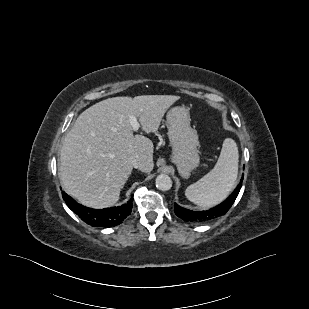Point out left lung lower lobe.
I'll use <instances>...</instances> for the list:
<instances>
[{"instance_id":"0a47b994","label":"left lung lower lobe","mask_w":309,"mask_h":309,"mask_svg":"<svg viewBox=\"0 0 309 309\" xmlns=\"http://www.w3.org/2000/svg\"><path fill=\"white\" fill-rule=\"evenodd\" d=\"M242 181H243V175H242L240 183L238 184L234 192L229 196V198L223 203H221L220 205L210 210L195 212V211H190L188 209H185L175 204V207H174L175 214L182 220L189 222V223H194V224H203V223L212 221L216 219L217 217L226 214L227 211L231 208L232 204L234 203L235 199L237 198L239 194V191L242 186Z\"/></svg>"}]
</instances>
